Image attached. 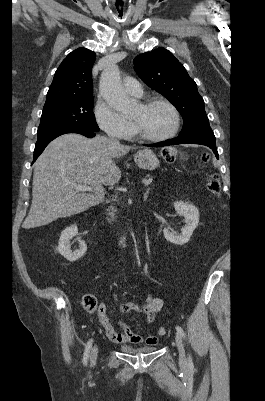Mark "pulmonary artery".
Here are the masks:
<instances>
[{
  "label": "pulmonary artery",
  "mask_w": 265,
  "mask_h": 401,
  "mask_svg": "<svg viewBox=\"0 0 265 401\" xmlns=\"http://www.w3.org/2000/svg\"><path fill=\"white\" fill-rule=\"evenodd\" d=\"M126 81L123 82V88L125 89V91H127L135 96L142 95L143 91H142L141 87L139 86L138 81H135L134 76H132V75L127 76Z\"/></svg>",
  "instance_id": "obj_1"
}]
</instances>
